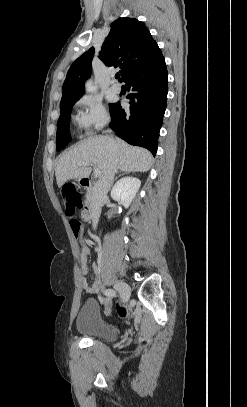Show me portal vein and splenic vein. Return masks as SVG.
Segmentation results:
<instances>
[{
  "instance_id": "18ae733b",
  "label": "portal vein and splenic vein",
  "mask_w": 247,
  "mask_h": 407,
  "mask_svg": "<svg viewBox=\"0 0 247 407\" xmlns=\"http://www.w3.org/2000/svg\"><path fill=\"white\" fill-rule=\"evenodd\" d=\"M80 165H81V166H87L88 163H81ZM93 174H94L95 177H97V176L100 174L99 169L96 168V167H94V173H93Z\"/></svg>"
}]
</instances>
